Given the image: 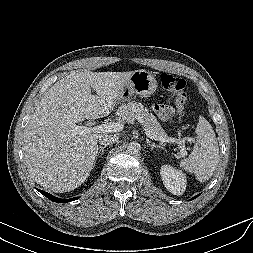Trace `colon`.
<instances>
[{
  "label": "colon",
  "mask_w": 253,
  "mask_h": 253,
  "mask_svg": "<svg viewBox=\"0 0 253 253\" xmlns=\"http://www.w3.org/2000/svg\"><path fill=\"white\" fill-rule=\"evenodd\" d=\"M160 82L163 88L170 92L178 108L183 112L187 105L184 80L170 73H162L160 75Z\"/></svg>",
  "instance_id": "5ec220e1"
}]
</instances>
